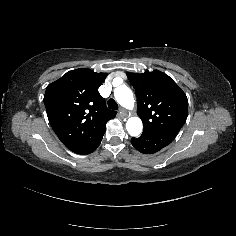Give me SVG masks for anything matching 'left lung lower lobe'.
<instances>
[{
    "mask_svg": "<svg viewBox=\"0 0 236 236\" xmlns=\"http://www.w3.org/2000/svg\"><path fill=\"white\" fill-rule=\"evenodd\" d=\"M174 140V137L168 135L146 133L139 138H132V145L141 153L152 154L158 152Z\"/></svg>",
    "mask_w": 236,
    "mask_h": 236,
    "instance_id": "1",
    "label": "left lung lower lobe"
}]
</instances>
